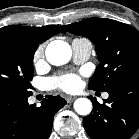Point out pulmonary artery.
<instances>
[{
    "label": "pulmonary artery",
    "instance_id": "e3ab8cb5",
    "mask_svg": "<svg viewBox=\"0 0 139 139\" xmlns=\"http://www.w3.org/2000/svg\"><path fill=\"white\" fill-rule=\"evenodd\" d=\"M73 51V59L77 64L84 63L91 55L92 43L86 38H76L71 43ZM108 93H104L103 97L108 98Z\"/></svg>",
    "mask_w": 139,
    "mask_h": 139
}]
</instances>
